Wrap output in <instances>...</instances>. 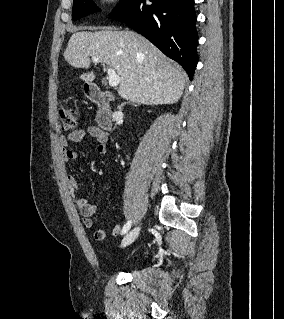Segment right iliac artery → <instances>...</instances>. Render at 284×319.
Masks as SVG:
<instances>
[{
  "instance_id": "obj_1",
  "label": "right iliac artery",
  "mask_w": 284,
  "mask_h": 319,
  "mask_svg": "<svg viewBox=\"0 0 284 319\" xmlns=\"http://www.w3.org/2000/svg\"><path fill=\"white\" fill-rule=\"evenodd\" d=\"M131 224H132V221L129 220L124 226H123V229L121 231V234H125L130 228H131Z\"/></svg>"
}]
</instances>
